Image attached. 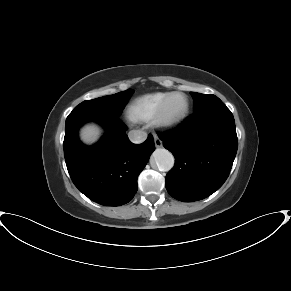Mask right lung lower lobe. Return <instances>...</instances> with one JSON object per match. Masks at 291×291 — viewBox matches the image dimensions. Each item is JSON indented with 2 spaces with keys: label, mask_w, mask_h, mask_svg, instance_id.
I'll list each match as a JSON object with an SVG mask.
<instances>
[{
  "label": "right lung lower lobe",
  "mask_w": 291,
  "mask_h": 291,
  "mask_svg": "<svg viewBox=\"0 0 291 291\" xmlns=\"http://www.w3.org/2000/svg\"><path fill=\"white\" fill-rule=\"evenodd\" d=\"M95 121L105 128L104 137L93 146L78 139L80 126ZM119 117L87 110L72 111L65 123L64 156L68 172L80 192L104 206H120L137 192V178L154 151L149 135L142 144H133Z\"/></svg>",
  "instance_id": "right-lung-lower-lobe-1"
}]
</instances>
